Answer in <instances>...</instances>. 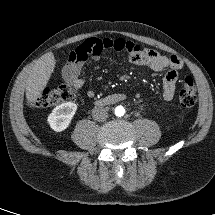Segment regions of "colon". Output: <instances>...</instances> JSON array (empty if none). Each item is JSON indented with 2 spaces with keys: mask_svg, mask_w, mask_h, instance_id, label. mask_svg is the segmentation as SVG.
Returning a JSON list of instances; mask_svg holds the SVG:
<instances>
[{
  "mask_svg": "<svg viewBox=\"0 0 215 215\" xmlns=\"http://www.w3.org/2000/svg\"><path fill=\"white\" fill-rule=\"evenodd\" d=\"M76 98L75 91L66 85L56 89H45L33 102L37 108H50L62 103L73 102ZM197 99L196 85L190 76L183 81V87L179 94L181 106L190 108L194 106Z\"/></svg>",
  "mask_w": 215,
  "mask_h": 215,
  "instance_id": "1",
  "label": "colon"
}]
</instances>
